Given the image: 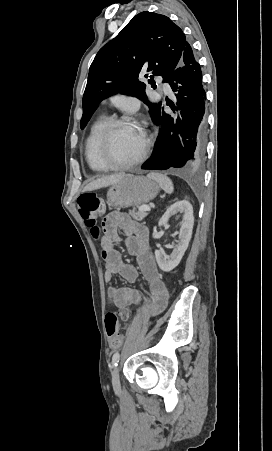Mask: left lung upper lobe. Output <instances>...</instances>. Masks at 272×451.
Wrapping results in <instances>:
<instances>
[{
  "mask_svg": "<svg viewBox=\"0 0 272 451\" xmlns=\"http://www.w3.org/2000/svg\"><path fill=\"white\" fill-rule=\"evenodd\" d=\"M188 42L182 30L168 17L153 12H141L110 42L104 45L92 62L83 95V129L101 100L123 93L135 96L149 106L156 124L161 105L147 100L145 84L139 74L154 75L168 82L178 66Z\"/></svg>",
  "mask_w": 272,
  "mask_h": 451,
  "instance_id": "left-lung-upper-lobe-1",
  "label": "left lung upper lobe"
}]
</instances>
